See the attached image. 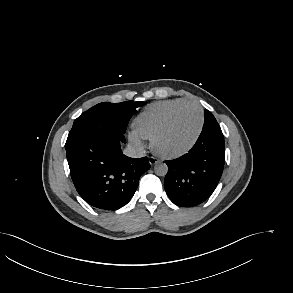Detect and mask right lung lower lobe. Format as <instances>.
<instances>
[{
  "mask_svg": "<svg viewBox=\"0 0 293 293\" xmlns=\"http://www.w3.org/2000/svg\"><path fill=\"white\" fill-rule=\"evenodd\" d=\"M120 143H126L124 133L102 131L66 149L77 192L96 208L117 210L126 205L150 168L147 157L125 156Z\"/></svg>",
  "mask_w": 293,
  "mask_h": 293,
  "instance_id": "98d812e1",
  "label": "right lung lower lobe"
}]
</instances>
